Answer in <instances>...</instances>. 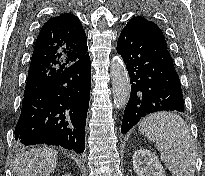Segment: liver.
<instances>
[{
    "mask_svg": "<svg viewBox=\"0 0 205 176\" xmlns=\"http://www.w3.org/2000/svg\"><path fill=\"white\" fill-rule=\"evenodd\" d=\"M57 152L39 147L18 156L13 163L14 176H49L57 164Z\"/></svg>",
    "mask_w": 205,
    "mask_h": 176,
    "instance_id": "6515ba94",
    "label": "liver"
}]
</instances>
